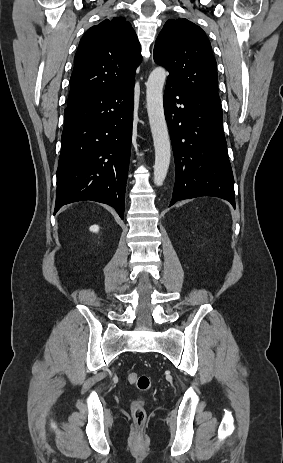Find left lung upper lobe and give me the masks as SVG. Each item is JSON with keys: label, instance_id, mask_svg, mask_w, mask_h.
Here are the masks:
<instances>
[{"label": "left lung upper lobe", "instance_id": "obj_1", "mask_svg": "<svg viewBox=\"0 0 283 463\" xmlns=\"http://www.w3.org/2000/svg\"><path fill=\"white\" fill-rule=\"evenodd\" d=\"M154 61L169 71L168 80L205 105L222 111L216 60L199 26L187 19L168 20L156 40Z\"/></svg>", "mask_w": 283, "mask_h": 463}]
</instances>
